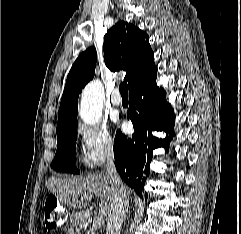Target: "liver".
I'll return each instance as SVG.
<instances>
[{
  "label": "liver",
  "mask_w": 241,
  "mask_h": 234,
  "mask_svg": "<svg viewBox=\"0 0 241 234\" xmlns=\"http://www.w3.org/2000/svg\"><path fill=\"white\" fill-rule=\"evenodd\" d=\"M46 188L67 206L86 215V207L94 197H100L98 215L108 219L113 204V184L106 173H90L71 178L51 177ZM127 197L133 194L129 188ZM85 197L88 199L86 200Z\"/></svg>",
  "instance_id": "6515ba94"
}]
</instances>
